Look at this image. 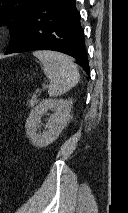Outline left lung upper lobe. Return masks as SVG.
<instances>
[{
	"label": "left lung upper lobe",
	"mask_w": 128,
	"mask_h": 213,
	"mask_svg": "<svg viewBox=\"0 0 128 213\" xmlns=\"http://www.w3.org/2000/svg\"><path fill=\"white\" fill-rule=\"evenodd\" d=\"M37 1L0 0V26L7 25L10 29V45L24 26Z\"/></svg>",
	"instance_id": "5c2ea615"
}]
</instances>
